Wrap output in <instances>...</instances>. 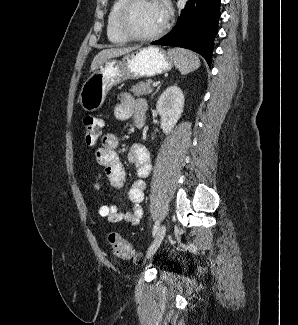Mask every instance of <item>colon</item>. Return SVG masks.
Masks as SVG:
<instances>
[{"label":"colon","instance_id":"1","mask_svg":"<svg viewBox=\"0 0 298 325\" xmlns=\"http://www.w3.org/2000/svg\"><path fill=\"white\" fill-rule=\"evenodd\" d=\"M84 141L88 146H93L97 143L101 129L103 127L102 119L87 115L84 120ZM108 241L112 248L113 254L120 259H133L137 256L133 246L117 233L112 232L108 235Z\"/></svg>","mask_w":298,"mask_h":325}]
</instances>
